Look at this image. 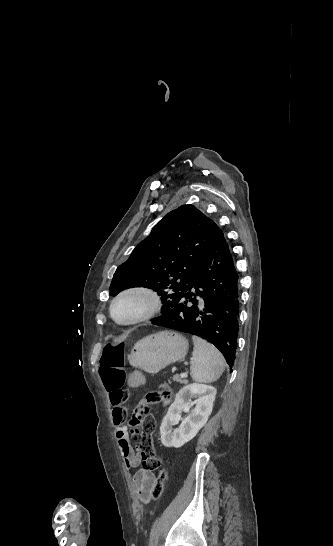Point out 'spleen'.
Returning <instances> with one entry per match:
<instances>
[{"label":"spleen","instance_id":"spleen-1","mask_svg":"<svg viewBox=\"0 0 333 546\" xmlns=\"http://www.w3.org/2000/svg\"><path fill=\"white\" fill-rule=\"evenodd\" d=\"M194 349L190 371L195 382L211 383L220 378L225 369L222 354L205 340L193 336Z\"/></svg>","mask_w":333,"mask_h":546}]
</instances>
